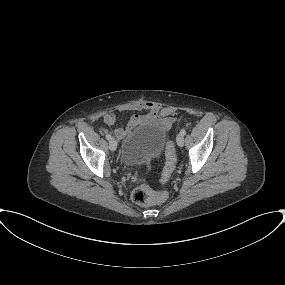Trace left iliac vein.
<instances>
[{
    "label": "left iliac vein",
    "mask_w": 285,
    "mask_h": 285,
    "mask_svg": "<svg viewBox=\"0 0 285 285\" xmlns=\"http://www.w3.org/2000/svg\"><path fill=\"white\" fill-rule=\"evenodd\" d=\"M176 142L178 146L182 147L184 145V136L181 134H178L176 138Z\"/></svg>",
    "instance_id": "4c4485c4"
}]
</instances>
